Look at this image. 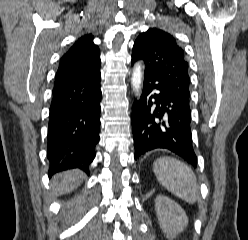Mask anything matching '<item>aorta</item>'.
<instances>
[{"mask_svg": "<svg viewBox=\"0 0 248 240\" xmlns=\"http://www.w3.org/2000/svg\"><path fill=\"white\" fill-rule=\"evenodd\" d=\"M142 67L140 63H137L133 69L131 77V85L136 97H140L142 87Z\"/></svg>", "mask_w": 248, "mask_h": 240, "instance_id": "1", "label": "aorta"}]
</instances>
